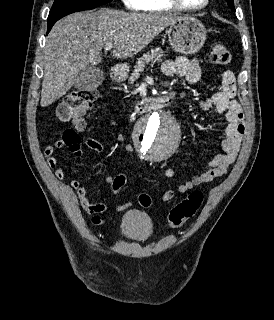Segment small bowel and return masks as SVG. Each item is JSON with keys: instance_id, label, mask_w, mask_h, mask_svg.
<instances>
[{"instance_id": "obj_1", "label": "small bowel", "mask_w": 274, "mask_h": 320, "mask_svg": "<svg viewBox=\"0 0 274 320\" xmlns=\"http://www.w3.org/2000/svg\"><path fill=\"white\" fill-rule=\"evenodd\" d=\"M162 69L166 76L184 77L191 85L198 84L201 80V68L196 59L179 56L166 61ZM217 82L219 86L218 90L210 98L201 100L199 102V108L201 110H209L211 107H215L216 111L223 116L226 125L222 141V152L214 157L205 171L179 184L175 189L166 190L161 196L164 202L172 200L177 193H186L196 186L211 182L217 177L222 176L237 157L243 135L246 131V124L242 107L235 99L237 89L235 74L231 70H224L219 74ZM88 124L89 121L87 119L74 120L76 131H83L84 126ZM84 144L90 150L98 153L104 150L103 144L94 138L85 139ZM63 145V140H54L53 146H42V153H51L50 156L46 154V157H48L47 163L51 168H55L57 165V159L52 156L53 152L55 149L63 147ZM124 148L125 151L129 153L134 151V147L130 144L125 145ZM55 175L58 179H63L65 172L59 168L56 169ZM165 175L172 179L175 176V171L169 168L165 171ZM117 176L108 174L104 180L107 184H113ZM70 187L76 192L81 207L90 214L91 223L94 225L102 224L109 210L107 204L90 201L87 189L78 180H72ZM129 206V202L120 204L115 207V210L124 211Z\"/></svg>"}]
</instances>
